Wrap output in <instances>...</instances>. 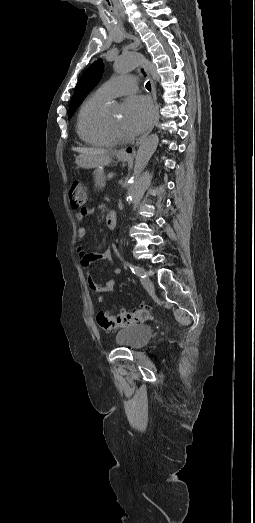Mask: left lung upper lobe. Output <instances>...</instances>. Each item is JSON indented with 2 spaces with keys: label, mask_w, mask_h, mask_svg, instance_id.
Returning a JSON list of instances; mask_svg holds the SVG:
<instances>
[{
  "label": "left lung upper lobe",
  "mask_w": 255,
  "mask_h": 523,
  "mask_svg": "<svg viewBox=\"0 0 255 523\" xmlns=\"http://www.w3.org/2000/svg\"><path fill=\"white\" fill-rule=\"evenodd\" d=\"M104 68L101 59L95 61L82 75L78 81L74 94L71 98L69 105L68 119H70L73 113L77 110L79 105L88 95V93L97 85L100 81Z\"/></svg>",
  "instance_id": "obj_1"
}]
</instances>
